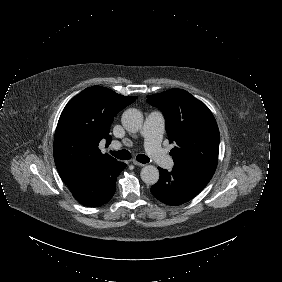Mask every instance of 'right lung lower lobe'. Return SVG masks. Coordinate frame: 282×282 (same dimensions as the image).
<instances>
[{"instance_id": "98d812e1", "label": "right lung lower lobe", "mask_w": 282, "mask_h": 282, "mask_svg": "<svg viewBox=\"0 0 282 282\" xmlns=\"http://www.w3.org/2000/svg\"><path fill=\"white\" fill-rule=\"evenodd\" d=\"M126 166L123 162H107L88 171L67 186L74 198L82 205L87 207L101 206L114 195L117 176Z\"/></svg>"}]
</instances>
